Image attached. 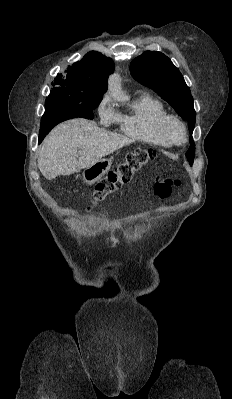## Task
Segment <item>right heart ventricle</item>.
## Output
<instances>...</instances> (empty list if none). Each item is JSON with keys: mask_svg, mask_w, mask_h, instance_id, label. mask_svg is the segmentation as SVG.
I'll use <instances>...</instances> for the list:
<instances>
[{"mask_svg": "<svg viewBox=\"0 0 232 399\" xmlns=\"http://www.w3.org/2000/svg\"><path fill=\"white\" fill-rule=\"evenodd\" d=\"M165 114L167 110L161 102L144 96L129 114L118 117V129L132 141L167 149L172 143L159 129V121Z\"/></svg>", "mask_w": 232, "mask_h": 399, "instance_id": "1", "label": "right heart ventricle"}]
</instances>
